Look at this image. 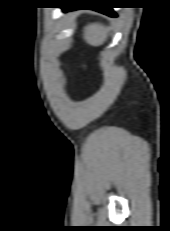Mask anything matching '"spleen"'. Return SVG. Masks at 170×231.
<instances>
[{
  "label": "spleen",
  "instance_id": "3e777b00",
  "mask_svg": "<svg viewBox=\"0 0 170 231\" xmlns=\"http://www.w3.org/2000/svg\"><path fill=\"white\" fill-rule=\"evenodd\" d=\"M84 39L92 46L102 45L108 36V29L99 23H92L84 28Z\"/></svg>",
  "mask_w": 170,
  "mask_h": 231
}]
</instances>
